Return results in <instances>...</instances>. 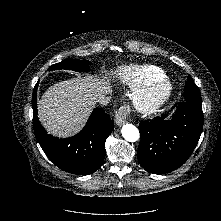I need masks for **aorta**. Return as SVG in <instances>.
I'll list each match as a JSON object with an SVG mask.
<instances>
[{"mask_svg":"<svg viewBox=\"0 0 221 221\" xmlns=\"http://www.w3.org/2000/svg\"><path fill=\"white\" fill-rule=\"evenodd\" d=\"M122 136L129 142H136L139 137V130L132 124H125L121 129Z\"/></svg>","mask_w":221,"mask_h":221,"instance_id":"aorta-1","label":"aorta"}]
</instances>
